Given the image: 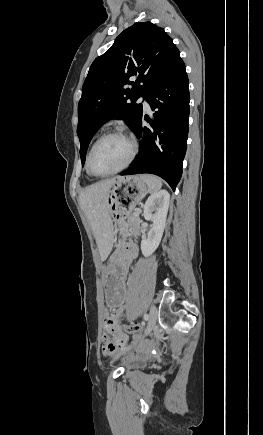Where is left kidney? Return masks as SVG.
<instances>
[{
  "instance_id": "left-kidney-1",
  "label": "left kidney",
  "mask_w": 263,
  "mask_h": 435,
  "mask_svg": "<svg viewBox=\"0 0 263 435\" xmlns=\"http://www.w3.org/2000/svg\"><path fill=\"white\" fill-rule=\"evenodd\" d=\"M169 200V192L160 190L151 194L145 202L144 218L153 222L147 237L141 241V251L145 257L150 256L160 244L166 224Z\"/></svg>"
}]
</instances>
